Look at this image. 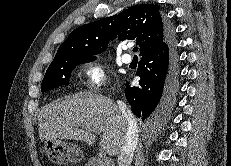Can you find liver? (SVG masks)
<instances>
[{
	"label": "liver",
	"instance_id": "liver-1",
	"mask_svg": "<svg viewBox=\"0 0 231 166\" xmlns=\"http://www.w3.org/2000/svg\"><path fill=\"white\" fill-rule=\"evenodd\" d=\"M41 141L69 139L92 145L102 132L100 147L110 156L120 153L127 121L111 99L81 92L46 105L38 114Z\"/></svg>",
	"mask_w": 231,
	"mask_h": 166
}]
</instances>
